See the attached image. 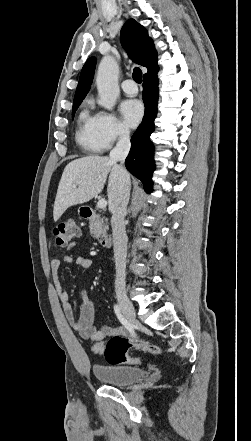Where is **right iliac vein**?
I'll return each instance as SVG.
<instances>
[{
  "instance_id": "1",
  "label": "right iliac vein",
  "mask_w": 251,
  "mask_h": 441,
  "mask_svg": "<svg viewBox=\"0 0 251 441\" xmlns=\"http://www.w3.org/2000/svg\"><path fill=\"white\" fill-rule=\"evenodd\" d=\"M117 299L123 314L126 316L128 321L135 326L137 324V320L133 304L124 293H119L117 295Z\"/></svg>"
}]
</instances>
